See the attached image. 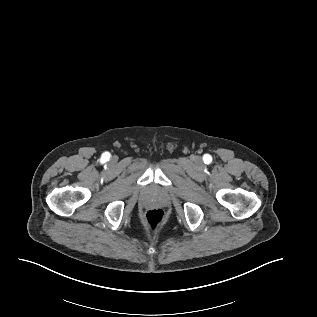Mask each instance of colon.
<instances>
[{"mask_svg": "<svg viewBox=\"0 0 317 317\" xmlns=\"http://www.w3.org/2000/svg\"><path fill=\"white\" fill-rule=\"evenodd\" d=\"M164 220V211L160 208L148 210L144 215L145 223L151 228L159 226Z\"/></svg>", "mask_w": 317, "mask_h": 317, "instance_id": "colon-1", "label": "colon"}]
</instances>
